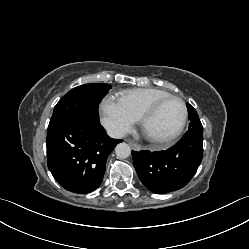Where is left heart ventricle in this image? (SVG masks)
I'll return each mask as SVG.
<instances>
[{
  "mask_svg": "<svg viewBox=\"0 0 249 249\" xmlns=\"http://www.w3.org/2000/svg\"><path fill=\"white\" fill-rule=\"evenodd\" d=\"M183 112V106L178 100H168L146 122L143 132L153 138L168 136L180 125Z\"/></svg>",
  "mask_w": 249,
  "mask_h": 249,
  "instance_id": "1",
  "label": "left heart ventricle"
}]
</instances>
